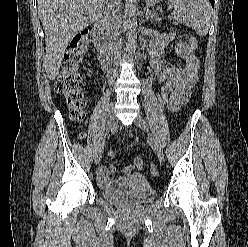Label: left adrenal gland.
Masks as SVG:
<instances>
[{"instance_id": "left-adrenal-gland-1", "label": "left adrenal gland", "mask_w": 248, "mask_h": 247, "mask_svg": "<svg viewBox=\"0 0 248 247\" xmlns=\"http://www.w3.org/2000/svg\"><path fill=\"white\" fill-rule=\"evenodd\" d=\"M144 12H145V20H148L149 18H153V13L149 11L148 8H144Z\"/></svg>"}]
</instances>
